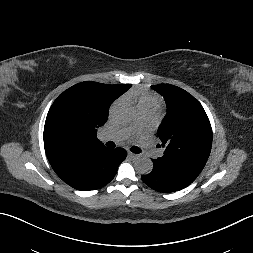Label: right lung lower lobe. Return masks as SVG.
Segmentation results:
<instances>
[{
    "instance_id": "1",
    "label": "right lung lower lobe",
    "mask_w": 253,
    "mask_h": 253,
    "mask_svg": "<svg viewBox=\"0 0 253 253\" xmlns=\"http://www.w3.org/2000/svg\"><path fill=\"white\" fill-rule=\"evenodd\" d=\"M126 156L123 148L103 147L78 152L50 164L65 183L77 190L89 191L108 184Z\"/></svg>"
}]
</instances>
